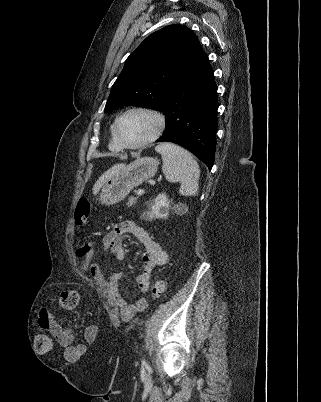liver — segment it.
Instances as JSON below:
<instances>
[{
	"label": "liver",
	"instance_id": "1",
	"mask_svg": "<svg viewBox=\"0 0 321 402\" xmlns=\"http://www.w3.org/2000/svg\"><path fill=\"white\" fill-rule=\"evenodd\" d=\"M124 166H125V164H116V165L112 166V168L107 170L103 175H101L93 187V193L96 194L99 191V189L102 187V185L105 183V181L108 178H110L113 174H115L117 171H119L121 168H123Z\"/></svg>",
	"mask_w": 321,
	"mask_h": 402
}]
</instances>
